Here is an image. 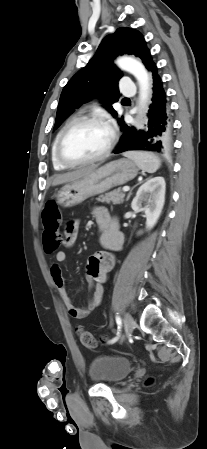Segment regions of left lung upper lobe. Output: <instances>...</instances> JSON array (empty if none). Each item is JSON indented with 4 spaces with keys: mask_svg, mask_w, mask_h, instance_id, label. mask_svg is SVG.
<instances>
[{
    "mask_svg": "<svg viewBox=\"0 0 207 449\" xmlns=\"http://www.w3.org/2000/svg\"><path fill=\"white\" fill-rule=\"evenodd\" d=\"M123 54H134L141 58L147 69L153 63L142 34L132 28H118L114 34L102 40L93 58L63 88L54 129L62 124L74 108L95 96H100L105 108L114 117L117 116L112 104L120 97L118 81L122 72L113 64V59ZM118 122L120 126L124 124L123 120Z\"/></svg>",
    "mask_w": 207,
    "mask_h": 449,
    "instance_id": "1",
    "label": "left lung upper lobe"
}]
</instances>
